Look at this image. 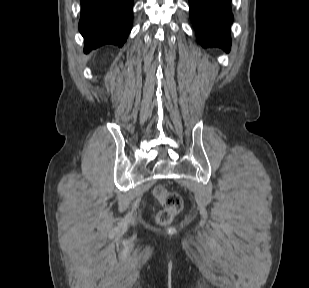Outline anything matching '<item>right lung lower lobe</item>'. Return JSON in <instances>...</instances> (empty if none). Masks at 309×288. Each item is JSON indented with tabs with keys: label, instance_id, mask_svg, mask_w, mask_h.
<instances>
[{
	"label": "right lung lower lobe",
	"instance_id": "1",
	"mask_svg": "<svg viewBox=\"0 0 309 288\" xmlns=\"http://www.w3.org/2000/svg\"><path fill=\"white\" fill-rule=\"evenodd\" d=\"M79 30L84 37V52L105 44L122 47L133 20L132 0H80Z\"/></svg>",
	"mask_w": 309,
	"mask_h": 288
}]
</instances>
